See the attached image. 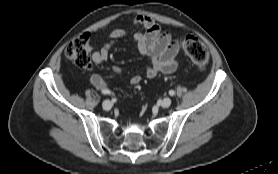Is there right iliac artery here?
Segmentation results:
<instances>
[{
	"mask_svg": "<svg viewBox=\"0 0 278 174\" xmlns=\"http://www.w3.org/2000/svg\"><path fill=\"white\" fill-rule=\"evenodd\" d=\"M102 94H110V91H108V90H102Z\"/></svg>",
	"mask_w": 278,
	"mask_h": 174,
	"instance_id": "1",
	"label": "right iliac artery"
}]
</instances>
